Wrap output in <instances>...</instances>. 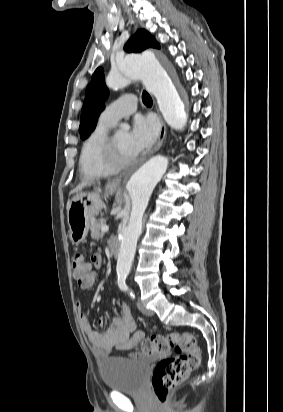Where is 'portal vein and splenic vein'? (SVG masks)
Segmentation results:
<instances>
[{"label":"portal vein and splenic vein","instance_id":"18ae733b","mask_svg":"<svg viewBox=\"0 0 283 412\" xmlns=\"http://www.w3.org/2000/svg\"><path fill=\"white\" fill-rule=\"evenodd\" d=\"M109 230V227L107 226V225H103L102 227H101V231L102 232H107Z\"/></svg>","mask_w":283,"mask_h":412}]
</instances>
